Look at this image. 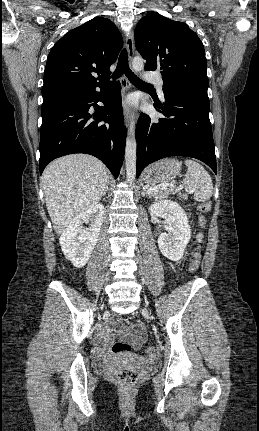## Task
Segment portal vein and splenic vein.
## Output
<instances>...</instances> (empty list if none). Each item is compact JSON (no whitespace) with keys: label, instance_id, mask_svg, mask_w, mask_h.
Masks as SVG:
<instances>
[{"label":"portal vein and splenic vein","instance_id":"18ae733b","mask_svg":"<svg viewBox=\"0 0 259 431\" xmlns=\"http://www.w3.org/2000/svg\"><path fill=\"white\" fill-rule=\"evenodd\" d=\"M169 184H162L156 187L148 188V193L157 192L159 190L168 189ZM192 193V191H190Z\"/></svg>","mask_w":259,"mask_h":431}]
</instances>
